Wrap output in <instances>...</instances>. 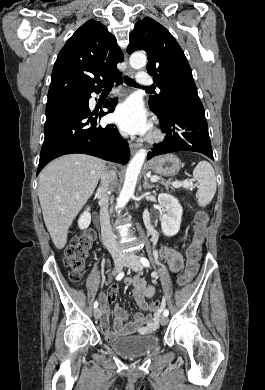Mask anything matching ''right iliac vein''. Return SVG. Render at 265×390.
Segmentation results:
<instances>
[{
	"instance_id": "obj_1",
	"label": "right iliac vein",
	"mask_w": 265,
	"mask_h": 390,
	"mask_svg": "<svg viewBox=\"0 0 265 390\" xmlns=\"http://www.w3.org/2000/svg\"><path fill=\"white\" fill-rule=\"evenodd\" d=\"M124 263H125V259L123 257H121V256L114 257V271H113V273L114 274L119 273L122 270ZM100 316H101V310L99 308H96L94 310L95 319L98 320L100 318Z\"/></svg>"
}]
</instances>
